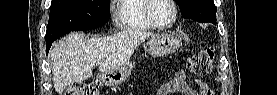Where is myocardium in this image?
<instances>
[{
	"instance_id": "f54148a6",
	"label": "myocardium",
	"mask_w": 277,
	"mask_h": 95,
	"mask_svg": "<svg viewBox=\"0 0 277 95\" xmlns=\"http://www.w3.org/2000/svg\"><path fill=\"white\" fill-rule=\"evenodd\" d=\"M154 1L155 0H148V3L145 7V16H146L147 20L156 28H167V27L171 26L175 22V19H176V16H177V7L175 5V1L174 0H167L168 3L171 4L172 7H173V14H172L170 20L165 22V23H160V22L156 21L153 18V16L151 15L150 9H151Z\"/></svg>"
}]
</instances>
